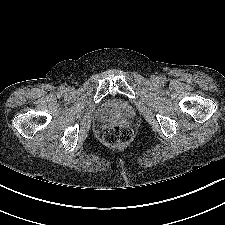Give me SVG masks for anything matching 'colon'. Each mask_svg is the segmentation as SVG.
<instances>
[{
	"mask_svg": "<svg viewBox=\"0 0 225 225\" xmlns=\"http://www.w3.org/2000/svg\"><path fill=\"white\" fill-rule=\"evenodd\" d=\"M132 135V130L128 126L115 125L105 132L103 139L107 145L118 146L130 142Z\"/></svg>",
	"mask_w": 225,
	"mask_h": 225,
	"instance_id": "colon-1",
	"label": "colon"
}]
</instances>
